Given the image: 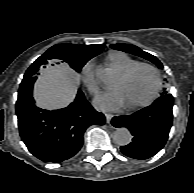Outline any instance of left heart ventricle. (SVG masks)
<instances>
[{"label":"left heart ventricle","instance_id":"left-heart-ventricle-1","mask_svg":"<svg viewBox=\"0 0 194 193\" xmlns=\"http://www.w3.org/2000/svg\"><path fill=\"white\" fill-rule=\"evenodd\" d=\"M155 87V76L148 68L136 70L129 78L121 76L114 84V88L120 90L125 105H132L146 100Z\"/></svg>","mask_w":194,"mask_h":193}]
</instances>
